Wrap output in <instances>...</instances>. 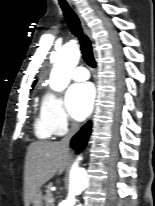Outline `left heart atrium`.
<instances>
[{
	"instance_id": "1",
	"label": "left heart atrium",
	"mask_w": 155,
	"mask_h": 206,
	"mask_svg": "<svg viewBox=\"0 0 155 206\" xmlns=\"http://www.w3.org/2000/svg\"><path fill=\"white\" fill-rule=\"evenodd\" d=\"M95 90L90 83H79L72 85L66 95L67 106L71 115L82 120L86 118L94 104Z\"/></svg>"
}]
</instances>
